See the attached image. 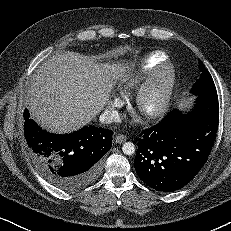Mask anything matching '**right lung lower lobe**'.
<instances>
[{"label": "right lung lower lobe", "mask_w": 231, "mask_h": 231, "mask_svg": "<svg viewBox=\"0 0 231 231\" xmlns=\"http://www.w3.org/2000/svg\"><path fill=\"white\" fill-rule=\"evenodd\" d=\"M24 133L41 174L57 188L74 192L98 178L113 132L85 126L71 134L46 132L24 111Z\"/></svg>", "instance_id": "98d812e1"}]
</instances>
